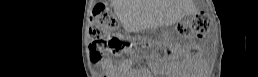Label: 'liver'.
I'll use <instances>...</instances> for the list:
<instances>
[{"label":"liver","mask_w":258,"mask_h":77,"mask_svg":"<svg viewBox=\"0 0 258 77\" xmlns=\"http://www.w3.org/2000/svg\"><path fill=\"white\" fill-rule=\"evenodd\" d=\"M113 5L120 17L127 13L128 18L122 19L125 27H129L131 23L153 24L161 18L160 12L149 0H113Z\"/></svg>","instance_id":"obj_1"}]
</instances>
